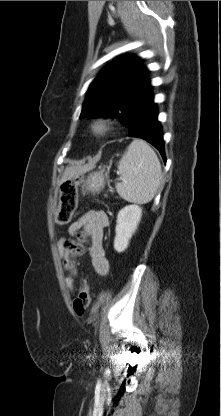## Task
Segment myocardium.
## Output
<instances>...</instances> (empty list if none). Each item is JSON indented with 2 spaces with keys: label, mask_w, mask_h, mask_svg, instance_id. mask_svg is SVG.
I'll use <instances>...</instances> for the list:
<instances>
[{
  "label": "myocardium",
  "mask_w": 221,
  "mask_h": 416,
  "mask_svg": "<svg viewBox=\"0 0 221 416\" xmlns=\"http://www.w3.org/2000/svg\"><path fill=\"white\" fill-rule=\"evenodd\" d=\"M111 130V122L109 119L100 117L93 121L91 131L96 136H104Z\"/></svg>",
  "instance_id": "f54148a6"
}]
</instances>
